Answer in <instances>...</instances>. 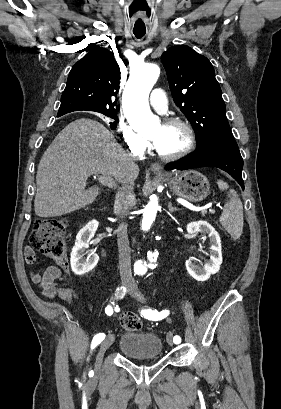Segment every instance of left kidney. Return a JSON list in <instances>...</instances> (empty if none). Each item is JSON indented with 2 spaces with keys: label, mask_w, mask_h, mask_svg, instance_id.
Here are the masks:
<instances>
[{
  "label": "left kidney",
  "mask_w": 281,
  "mask_h": 409,
  "mask_svg": "<svg viewBox=\"0 0 281 409\" xmlns=\"http://www.w3.org/2000/svg\"><path fill=\"white\" fill-rule=\"evenodd\" d=\"M186 229L189 235L202 233V235H208L209 237L210 259L205 263L204 267H198V265H194L192 261H186L185 263L186 269L193 279H196V281H207L211 275L218 273L220 265H222L220 237L217 231H215L207 221H193V223H188Z\"/></svg>",
  "instance_id": "1"
}]
</instances>
